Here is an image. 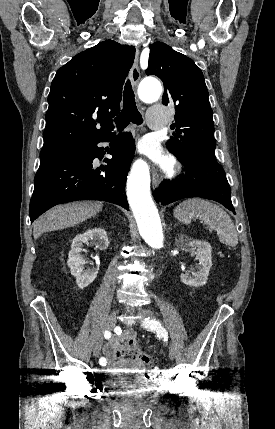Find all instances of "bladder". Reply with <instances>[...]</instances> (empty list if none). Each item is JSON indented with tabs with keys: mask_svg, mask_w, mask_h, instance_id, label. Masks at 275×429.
<instances>
[{
	"mask_svg": "<svg viewBox=\"0 0 275 429\" xmlns=\"http://www.w3.org/2000/svg\"><path fill=\"white\" fill-rule=\"evenodd\" d=\"M107 398H119L120 403H143L153 398L158 385L151 384V377H108Z\"/></svg>",
	"mask_w": 275,
	"mask_h": 429,
	"instance_id": "obj_1",
	"label": "bladder"
}]
</instances>
